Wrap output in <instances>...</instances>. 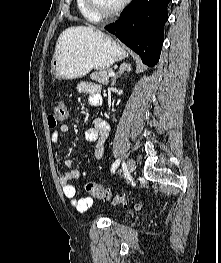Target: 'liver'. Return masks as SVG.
<instances>
[{"label": "liver", "instance_id": "6515ba94", "mask_svg": "<svg viewBox=\"0 0 221 263\" xmlns=\"http://www.w3.org/2000/svg\"><path fill=\"white\" fill-rule=\"evenodd\" d=\"M85 30H96L93 26L83 27Z\"/></svg>", "mask_w": 221, "mask_h": 263}]
</instances>
